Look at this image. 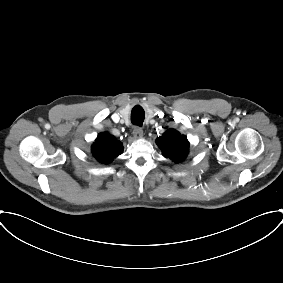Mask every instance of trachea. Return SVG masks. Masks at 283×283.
I'll return each mask as SVG.
<instances>
[{
    "label": "trachea",
    "mask_w": 283,
    "mask_h": 283,
    "mask_svg": "<svg viewBox=\"0 0 283 283\" xmlns=\"http://www.w3.org/2000/svg\"><path fill=\"white\" fill-rule=\"evenodd\" d=\"M145 118V113L142 107L136 106L131 113V123L134 125L142 126Z\"/></svg>",
    "instance_id": "obj_1"
}]
</instances>
